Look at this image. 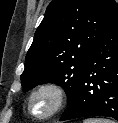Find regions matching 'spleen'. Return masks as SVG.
<instances>
[{
	"label": "spleen",
	"instance_id": "spleen-1",
	"mask_svg": "<svg viewBox=\"0 0 118 123\" xmlns=\"http://www.w3.org/2000/svg\"><path fill=\"white\" fill-rule=\"evenodd\" d=\"M83 123H115V122L105 118H88L85 119Z\"/></svg>",
	"mask_w": 118,
	"mask_h": 123
}]
</instances>
